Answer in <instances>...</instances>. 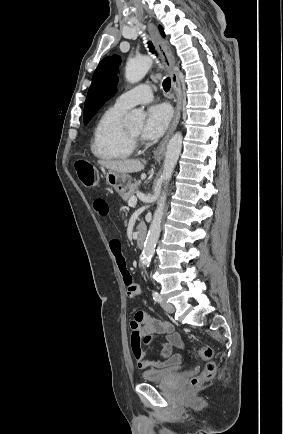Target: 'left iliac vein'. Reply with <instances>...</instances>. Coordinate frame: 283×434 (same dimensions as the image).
<instances>
[{"label": "left iliac vein", "instance_id": "4c4485c4", "mask_svg": "<svg viewBox=\"0 0 283 434\" xmlns=\"http://www.w3.org/2000/svg\"><path fill=\"white\" fill-rule=\"evenodd\" d=\"M161 306L168 313H174V311H175L174 306L165 302V301H161Z\"/></svg>", "mask_w": 283, "mask_h": 434}]
</instances>
